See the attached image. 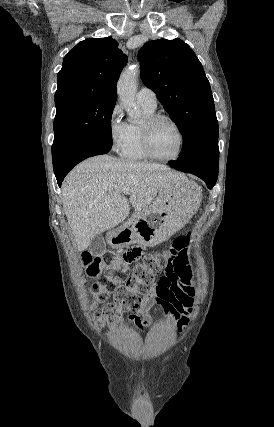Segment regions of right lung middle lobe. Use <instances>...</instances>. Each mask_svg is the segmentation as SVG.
Returning <instances> with one entry per match:
<instances>
[{"label":"right lung middle lobe","instance_id":"1","mask_svg":"<svg viewBox=\"0 0 274 427\" xmlns=\"http://www.w3.org/2000/svg\"><path fill=\"white\" fill-rule=\"evenodd\" d=\"M117 97H88L56 105L53 167L95 143L111 144V116Z\"/></svg>","mask_w":274,"mask_h":427}]
</instances>
